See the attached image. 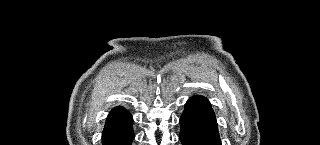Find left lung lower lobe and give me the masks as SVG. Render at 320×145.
<instances>
[{"mask_svg":"<svg viewBox=\"0 0 320 145\" xmlns=\"http://www.w3.org/2000/svg\"><path fill=\"white\" fill-rule=\"evenodd\" d=\"M180 126L182 145H221L214 111L203 96L187 101Z\"/></svg>","mask_w":320,"mask_h":145,"instance_id":"1","label":"left lung lower lobe"}]
</instances>
